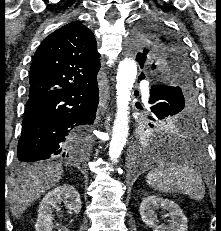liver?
<instances>
[{"instance_id":"liver-1","label":"liver","mask_w":221,"mask_h":231,"mask_svg":"<svg viewBox=\"0 0 221 231\" xmlns=\"http://www.w3.org/2000/svg\"><path fill=\"white\" fill-rule=\"evenodd\" d=\"M63 172L58 163H37L19 169L9 182L12 215L19 219L35 200L59 182Z\"/></svg>"}]
</instances>
